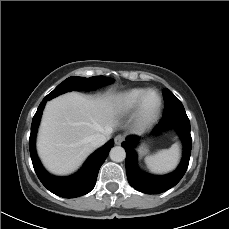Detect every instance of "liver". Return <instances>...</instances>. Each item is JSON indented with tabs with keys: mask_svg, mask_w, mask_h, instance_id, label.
<instances>
[{
	"mask_svg": "<svg viewBox=\"0 0 229 229\" xmlns=\"http://www.w3.org/2000/svg\"><path fill=\"white\" fill-rule=\"evenodd\" d=\"M119 102L114 96L94 98L76 92L49 101L37 139L44 166L58 175L76 170L94 150L90 137L101 133L108 138L117 126Z\"/></svg>",
	"mask_w": 229,
	"mask_h": 229,
	"instance_id": "6515ba94",
	"label": "liver"
}]
</instances>
